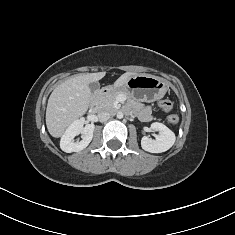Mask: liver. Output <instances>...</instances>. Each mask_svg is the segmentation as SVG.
Returning <instances> with one entry per match:
<instances>
[{"mask_svg": "<svg viewBox=\"0 0 235 235\" xmlns=\"http://www.w3.org/2000/svg\"><path fill=\"white\" fill-rule=\"evenodd\" d=\"M105 75L106 72L75 75L53 90L46 109V126L51 136L61 137L71 123L87 112L91 98L89 84L101 80ZM135 75L138 74L124 73L114 82V87H122Z\"/></svg>", "mask_w": 235, "mask_h": 235, "instance_id": "liver-1", "label": "liver"}]
</instances>
